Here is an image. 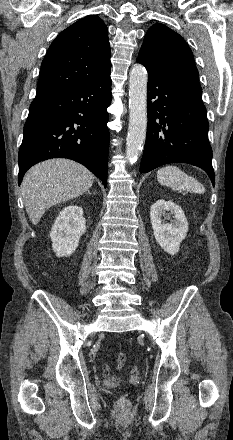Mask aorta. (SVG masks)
<instances>
[{"label":"aorta","instance_id":"obj_1","mask_svg":"<svg viewBox=\"0 0 233 440\" xmlns=\"http://www.w3.org/2000/svg\"><path fill=\"white\" fill-rule=\"evenodd\" d=\"M147 71L135 64L129 78V127L126 159L133 163L142 151L147 128Z\"/></svg>","mask_w":233,"mask_h":440}]
</instances>
